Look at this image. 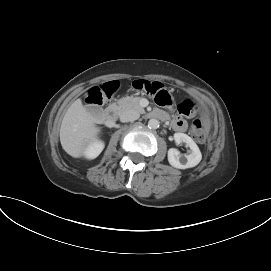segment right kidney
<instances>
[{"mask_svg": "<svg viewBox=\"0 0 271 271\" xmlns=\"http://www.w3.org/2000/svg\"><path fill=\"white\" fill-rule=\"evenodd\" d=\"M104 149V143L100 140L92 141L85 150V157L87 159H95Z\"/></svg>", "mask_w": 271, "mask_h": 271, "instance_id": "1", "label": "right kidney"}]
</instances>
